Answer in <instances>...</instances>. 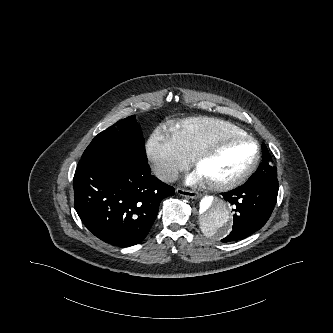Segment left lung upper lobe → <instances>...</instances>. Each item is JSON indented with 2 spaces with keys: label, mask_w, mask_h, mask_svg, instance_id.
<instances>
[{
  "label": "left lung upper lobe",
  "mask_w": 333,
  "mask_h": 333,
  "mask_svg": "<svg viewBox=\"0 0 333 333\" xmlns=\"http://www.w3.org/2000/svg\"><path fill=\"white\" fill-rule=\"evenodd\" d=\"M248 184L264 183L278 185L277 180V168L272 164V158L270 154H263V161L259 165L258 169L246 182Z\"/></svg>",
  "instance_id": "5c2ea615"
}]
</instances>
